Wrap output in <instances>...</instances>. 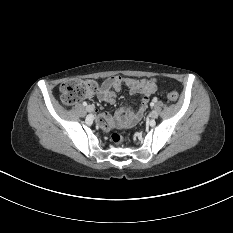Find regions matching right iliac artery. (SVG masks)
<instances>
[{
	"label": "right iliac artery",
	"instance_id": "82829eb1",
	"mask_svg": "<svg viewBox=\"0 0 233 233\" xmlns=\"http://www.w3.org/2000/svg\"><path fill=\"white\" fill-rule=\"evenodd\" d=\"M83 106H87V103H86V102H83Z\"/></svg>",
	"mask_w": 233,
	"mask_h": 233
}]
</instances>
